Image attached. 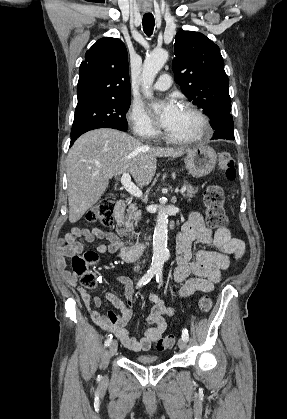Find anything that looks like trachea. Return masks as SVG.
Masks as SVG:
<instances>
[{
    "label": "trachea",
    "instance_id": "obj_1",
    "mask_svg": "<svg viewBox=\"0 0 287 419\" xmlns=\"http://www.w3.org/2000/svg\"><path fill=\"white\" fill-rule=\"evenodd\" d=\"M142 24L145 34L151 36L155 25L154 16L150 13L144 14Z\"/></svg>",
    "mask_w": 287,
    "mask_h": 419
}]
</instances>
